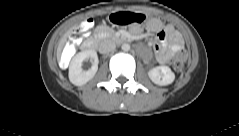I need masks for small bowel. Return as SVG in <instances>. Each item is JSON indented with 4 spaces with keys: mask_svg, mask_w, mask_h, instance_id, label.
Wrapping results in <instances>:
<instances>
[{
    "mask_svg": "<svg viewBox=\"0 0 239 136\" xmlns=\"http://www.w3.org/2000/svg\"><path fill=\"white\" fill-rule=\"evenodd\" d=\"M147 28L151 31L157 32V41L153 45L157 61L160 64L170 63L175 59L176 55L182 49L180 35L174 31L172 26L167 25L164 27L163 24L157 19H151L147 24ZM162 29H165L170 36V44L168 47L166 33L162 31ZM131 32L133 35H139L141 34L142 30L140 27H138L136 30H131Z\"/></svg>",
    "mask_w": 239,
    "mask_h": 136,
    "instance_id": "c3829d8e",
    "label": "small bowel"
}]
</instances>
